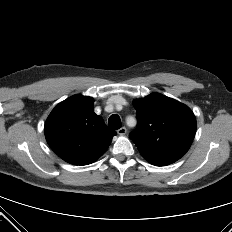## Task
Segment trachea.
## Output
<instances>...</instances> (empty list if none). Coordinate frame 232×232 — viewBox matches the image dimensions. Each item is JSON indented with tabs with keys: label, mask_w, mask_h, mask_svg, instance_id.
I'll use <instances>...</instances> for the list:
<instances>
[{
	"label": "trachea",
	"mask_w": 232,
	"mask_h": 232,
	"mask_svg": "<svg viewBox=\"0 0 232 232\" xmlns=\"http://www.w3.org/2000/svg\"><path fill=\"white\" fill-rule=\"evenodd\" d=\"M108 126L109 128L114 129V130L121 128L120 117L116 114L111 115L108 120Z\"/></svg>",
	"instance_id": "3493384b"
}]
</instances>
